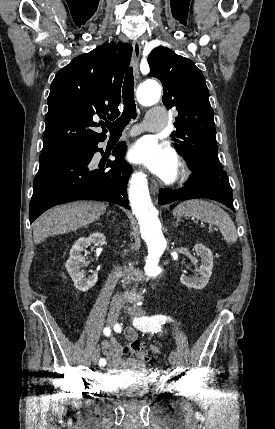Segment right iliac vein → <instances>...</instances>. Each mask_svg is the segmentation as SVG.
<instances>
[{
  "mask_svg": "<svg viewBox=\"0 0 275 429\" xmlns=\"http://www.w3.org/2000/svg\"><path fill=\"white\" fill-rule=\"evenodd\" d=\"M120 310H121V304L120 303H115V304L111 305V307L109 309L108 316H107V323L109 326H113L117 322V319H118L119 314H120ZM99 356H100V350L98 347H96L93 351V354H92V363L94 365L97 364Z\"/></svg>",
  "mask_w": 275,
  "mask_h": 429,
  "instance_id": "1",
  "label": "right iliac vein"
}]
</instances>
